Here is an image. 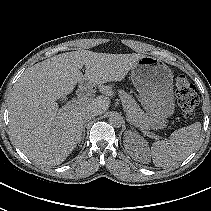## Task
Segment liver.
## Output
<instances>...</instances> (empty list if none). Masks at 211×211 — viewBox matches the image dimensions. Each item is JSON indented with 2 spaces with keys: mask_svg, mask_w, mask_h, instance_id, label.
<instances>
[{
  "mask_svg": "<svg viewBox=\"0 0 211 211\" xmlns=\"http://www.w3.org/2000/svg\"><path fill=\"white\" fill-rule=\"evenodd\" d=\"M143 55L92 51L66 52L25 70L9 97L10 131L14 144L36 165L61 164L81 141L89 111L101 115L114 95L108 82L122 81ZM85 66V75L81 69ZM98 87L102 96L89 98L74 108L59 109L56 103L75 86Z\"/></svg>",
  "mask_w": 211,
  "mask_h": 211,
  "instance_id": "6515ba94",
  "label": "liver"
}]
</instances>
